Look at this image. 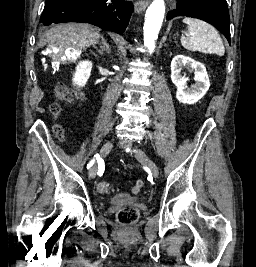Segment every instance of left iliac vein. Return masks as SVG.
Segmentation results:
<instances>
[{"mask_svg":"<svg viewBox=\"0 0 256 267\" xmlns=\"http://www.w3.org/2000/svg\"><path fill=\"white\" fill-rule=\"evenodd\" d=\"M135 158L143 166H147L153 176L155 177L158 176L159 170H158L157 165L144 152L138 151L137 153H135Z\"/></svg>","mask_w":256,"mask_h":267,"instance_id":"1","label":"left iliac vein"}]
</instances>
